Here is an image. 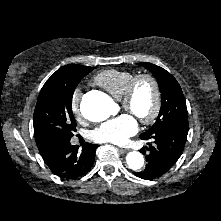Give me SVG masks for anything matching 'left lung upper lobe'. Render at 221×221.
Wrapping results in <instances>:
<instances>
[{"mask_svg":"<svg viewBox=\"0 0 221 221\" xmlns=\"http://www.w3.org/2000/svg\"><path fill=\"white\" fill-rule=\"evenodd\" d=\"M138 65L148 69L158 80L162 102L156 122L143 134H151L179 123H188L186 102L176 79L157 65L148 62H141Z\"/></svg>","mask_w":221,"mask_h":221,"instance_id":"5c2ea615","label":"left lung upper lobe"}]
</instances>
